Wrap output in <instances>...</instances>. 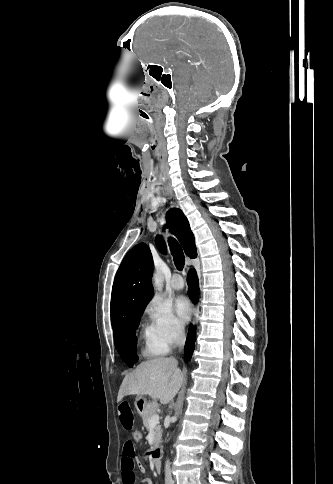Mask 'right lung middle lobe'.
<instances>
[{"label": "right lung middle lobe", "mask_w": 333, "mask_h": 484, "mask_svg": "<svg viewBox=\"0 0 333 484\" xmlns=\"http://www.w3.org/2000/svg\"><path fill=\"white\" fill-rule=\"evenodd\" d=\"M142 313L143 311H137L130 314L114 334L116 349L129 367L138 361L135 330Z\"/></svg>", "instance_id": "1"}]
</instances>
